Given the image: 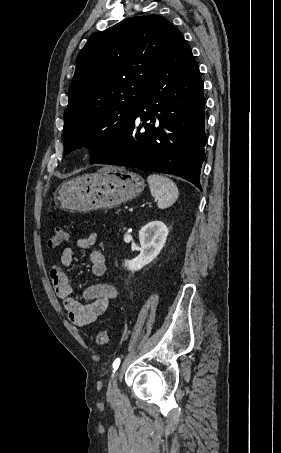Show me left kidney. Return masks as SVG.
<instances>
[{"label":"left kidney","instance_id":"left-kidney-1","mask_svg":"<svg viewBox=\"0 0 281 453\" xmlns=\"http://www.w3.org/2000/svg\"><path fill=\"white\" fill-rule=\"evenodd\" d=\"M169 235V229L162 220H151L147 222L145 227L139 231V241L141 245L140 255L125 261V267L128 271H140L145 265H149L153 259H156L160 251H162L166 239Z\"/></svg>","mask_w":281,"mask_h":453}]
</instances>
